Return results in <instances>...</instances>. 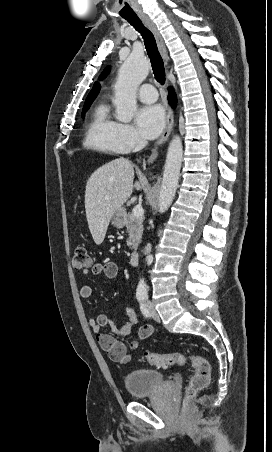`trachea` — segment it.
I'll list each match as a JSON object with an SVG mask.
<instances>
[{
  "label": "trachea",
  "mask_w": 272,
  "mask_h": 452,
  "mask_svg": "<svg viewBox=\"0 0 272 452\" xmlns=\"http://www.w3.org/2000/svg\"><path fill=\"white\" fill-rule=\"evenodd\" d=\"M124 19L127 20L139 33H141L144 39L147 54L152 64L155 79L163 85L166 78L164 63L158 51L153 34L142 24L137 15L124 17Z\"/></svg>",
  "instance_id": "1"
}]
</instances>
